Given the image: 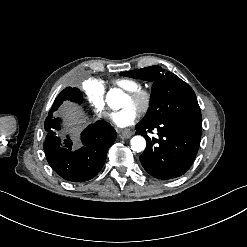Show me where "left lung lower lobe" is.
Here are the masks:
<instances>
[{
	"mask_svg": "<svg viewBox=\"0 0 247 247\" xmlns=\"http://www.w3.org/2000/svg\"><path fill=\"white\" fill-rule=\"evenodd\" d=\"M136 133L147 147L139 159L147 173L167 180L183 175L192 165L201 140V124L187 119H168L152 125L137 124ZM157 129L158 139L147 136Z\"/></svg>",
	"mask_w": 247,
	"mask_h": 247,
	"instance_id": "1",
	"label": "left lung lower lobe"
}]
</instances>
